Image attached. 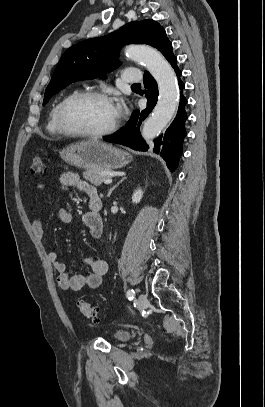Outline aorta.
<instances>
[{
	"label": "aorta",
	"instance_id": "762f6f07",
	"mask_svg": "<svg viewBox=\"0 0 265 407\" xmlns=\"http://www.w3.org/2000/svg\"><path fill=\"white\" fill-rule=\"evenodd\" d=\"M125 55L130 60L143 63L157 81L158 101L142 129L144 139H153L167 126L177 110L180 99L177 77L163 55L152 48L128 46Z\"/></svg>",
	"mask_w": 265,
	"mask_h": 407
}]
</instances>
